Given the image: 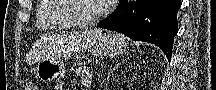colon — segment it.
<instances>
[{
    "label": "colon",
    "mask_w": 216,
    "mask_h": 90,
    "mask_svg": "<svg viewBox=\"0 0 216 90\" xmlns=\"http://www.w3.org/2000/svg\"><path fill=\"white\" fill-rule=\"evenodd\" d=\"M24 90H38L37 86L33 82H26L23 86Z\"/></svg>",
    "instance_id": "colon-1"
}]
</instances>
